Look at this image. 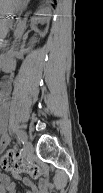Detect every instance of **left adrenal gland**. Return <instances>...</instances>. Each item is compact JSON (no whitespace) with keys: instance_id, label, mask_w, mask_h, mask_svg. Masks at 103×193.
Wrapping results in <instances>:
<instances>
[{"instance_id":"left-adrenal-gland-1","label":"left adrenal gland","mask_w":103,"mask_h":193,"mask_svg":"<svg viewBox=\"0 0 103 193\" xmlns=\"http://www.w3.org/2000/svg\"><path fill=\"white\" fill-rule=\"evenodd\" d=\"M28 27L27 25V19H25L19 29L18 35H22V33L26 30V28Z\"/></svg>"}]
</instances>
